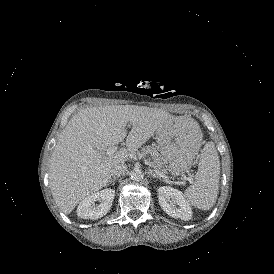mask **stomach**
Segmentation results:
<instances>
[{
    "label": "stomach",
    "instance_id": "0dacf381",
    "mask_svg": "<svg viewBox=\"0 0 274 274\" xmlns=\"http://www.w3.org/2000/svg\"><path fill=\"white\" fill-rule=\"evenodd\" d=\"M195 121H184L181 124L172 125L165 133L157 132L158 149L169 163L168 170L180 175L188 171L192 160L199 150L201 142L198 141L199 127L194 129ZM196 150L193 152V147Z\"/></svg>",
    "mask_w": 274,
    "mask_h": 274
}]
</instances>
